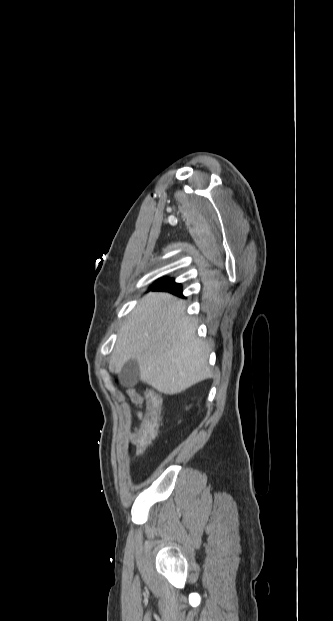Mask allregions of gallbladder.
Returning a JSON list of instances; mask_svg holds the SVG:
<instances>
[{"instance_id": "obj_1", "label": "gallbladder", "mask_w": 333, "mask_h": 621, "mask_svg": "<svg viewBox=\"0 0 333 621\" xmlns=\"http://www.w3.org/2000/svg\"><path fill=\"white\" fill-rule=\"evenodd\" d=\"M139 375L140 370L137 361L130 359L123 365L121 371L118 373V378L121 384L131 387L137 384Z\"/></svg>"}]
</instances>
